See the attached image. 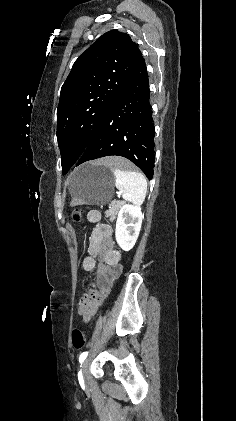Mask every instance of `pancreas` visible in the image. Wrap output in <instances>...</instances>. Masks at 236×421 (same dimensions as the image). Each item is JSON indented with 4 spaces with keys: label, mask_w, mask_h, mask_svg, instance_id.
Returning a JSON list of instances; mask_svg holds the SVG:
<instances>
[{
    "label": "pancreas",
    "mask_w": 236,
    "mask_h": 421,
    "mask_svg": "<svg viewBox=\"0 0 236 421\" xmlns=\"http://www.w3.org/2000/svg\"><path fill=\"white\" fill-rule=\"evenodd\" d=\"M122 204V200H112L109 211H105V217H109L111 223H113L115 215H118L119 208H121Z\"/></svg>",
    "instance_id": "obj_1"
}]
</instances>
